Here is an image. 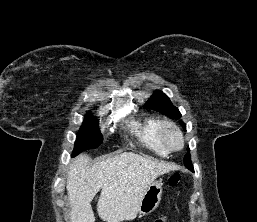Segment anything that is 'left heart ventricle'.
I'll list each match as a JSON object with an SVG mask.
<instances>
[{"instance_id": "b2bd125f", "label": "left heart ventricle", "mask_w": 257, "mask_h": 222, "mask_svg": "<svg viewBox=\"0 0 257 222\" xmlns=\"http://www.w3.org/2000/svg\"><path fill=\"white\" fill-rule=\"evenodd\" d=\"M166 138L171 146L178 147L180 145V139L174 131L168 130L166 133Z\"/></svg>"}]
</instances>
